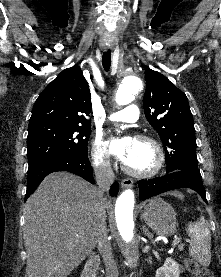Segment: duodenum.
<instances>
[{"label": "duodenum", "instance_id": "1", "mask_svg": "<svg viewBox=\"0 0 221 277\" xmlns=\"http://www.w3.org/2000/svg\"><path fill=\"white\" fill-rule=\"evenodd\" d=\"M100 264V259L97 256H93L91 257L85 267L84 270L82 272L81 277H96L97 276V271H98V267Z\"/></svg>", "mask_w": 221, "mask_h": 277}]
</instances>
